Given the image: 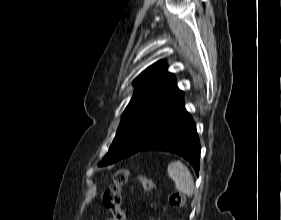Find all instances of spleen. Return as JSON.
<instances>
[{"label":"spleen","mask_w":281,"mask_h":220,"mask_svg":"<svg viewBox=\"0 0 281 220\" xmlns=\"http://www.w3.org/2000/svg\"><path fill=\"white\" fill-rule=\"evenodd\" d=\"M168 176L175 182L176 188L187 196L194 193V181L189 169L181 161L169 163Z\"/></svg>","instance_id":"3e777b00"}]
</instances>
